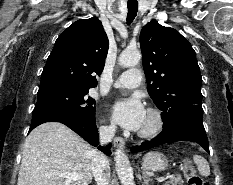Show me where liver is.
<instances>
[{"label": "liver", "instance_id": "liver-1", "mask_svg": "<svg viewBox=\"0 0 233 185\" xmlns=\"http://www.w3.org/2000/svg\"><path fill=\"white\" fill-rule=\"evenodd\" d=\"M97 153L67 126L41 124L25 139L17 185H89ZM64 173H76L81 179L67 184Z\"/></svg>", "mask_w": 233, "mask_h": 185}]
</instances>
